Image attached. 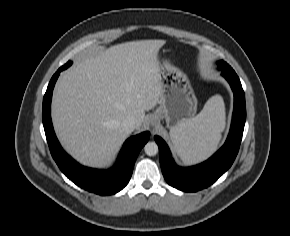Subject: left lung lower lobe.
I'll return each instance as SVG.
<instances>
[{"label":"left lung lower lobe","mask_w":290,"mask_h":236,"mask_svg":"<svg viewBox=\"0 0 290 236\" xmlns=\"http://www.w3.org/2000/svg\"><path fill=\"white\" fill-rule=\"evenodd\" d=\"M234 92V111L231 128L225 144L207 161L188 168L175 164L168 146L159 136V160L162 173L169 185L186 192H196L213 184L233 164L242 140L246 121L245 94L233 69L222 70Z\"/></svg>","instance_id":"obj_1"}]
</instances>
